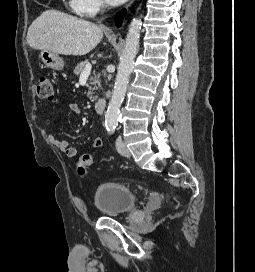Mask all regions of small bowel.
I'll list each match as a JSON object with an SVG mask.
<instances>
[{"label":"small bowel","mask_w":255,"mask_h":272,"mask_svg":"<svg viewBox=\"0 0 255 272\" xmlns=\"http://www.w3.org/2000/svg\"><path fill=\"white\" fill-rule=\"evenodd\" d=\"M70 110L72 113L76 115H79L81 113V109L77 104H71ZM48 139L52 145L62 150L67 157L74 158L77 156V148L75 146H72L68 141L64 139H59L55 135H49ZM102 145H103V141L101 138L95 139L92 143L93 148H99Z\"/></svg>","instance_id":"c3829d8e"}]
</instances>
